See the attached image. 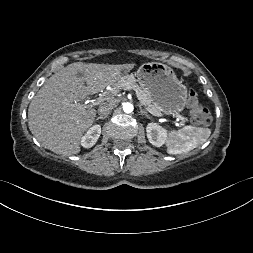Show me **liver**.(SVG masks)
I'll list each match as a JSON object with an SVG mask.
<instances>
[{
    "instance_id": "obj_1",
    "label": "liver",
    "mask_w": 253,
    "mask_h": 253,
    "mask_svg": "<svg viewBox=\"0 0 253 253\" xmlns=\"http://www.w3.org/2000/svg\"><path fill=\"white\" fill-rule=\"evenodd\" d=\"M134 64L106 65L75 62L52 75L32 99L28 126L34 137L54 153L80 152L83 134L92 126L96 110L78 102L113 86L124 69ZM100 102V105L103 104Z\"/></svg>"
}]
</instances>
